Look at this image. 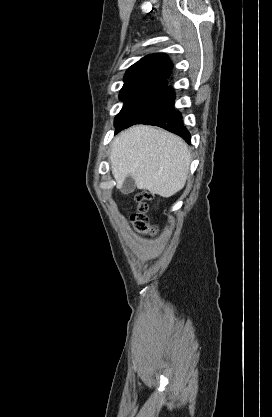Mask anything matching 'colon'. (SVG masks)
Masks as SVG:
<instances>
[{
    "label": "colon",
    "instance_id": "obj_1",
    "mask_svg": "<svg viewBox=\"0 0 272 417\" xmlns=\"http://www.w3.org/2000/svg\"><path fill=\"white\" fill-rule=\"evenodd\" d=\"M150 198L151 194L149 192L144 191L137 194L136 200L138 202V209L131 218L135 230L144 234L151 233L153 231V227L149 223L147 217L148 204L146 201Z\"/></svg>",
    "mask_w": 272,
    "mask_h": 417
}]
</instances>
